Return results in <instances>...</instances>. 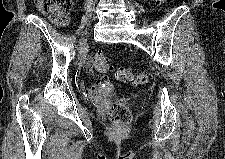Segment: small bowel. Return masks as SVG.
<instances>
[{
  "label": "small bowel",
  "instance_id": "1",
  "mask_svg": "<svg viewBox=\"0 0 225 159\" xmlns=\"http://www.w3.org/2000/svg\"><path fill=\"white\" fill-rule=\"evenodd\" d=\"M84 66L87 69H90L93 66V61L91 60V58H87L84 61ZM101 83H102V81H99V83H97L96 85H94L92 87H87L83 81H80L78 83V86L86 94L92 95V94H95L97 92V90H98L99 86L101 85Z\"/></svg>",
  "mask_w": 225,
  "mask_h": 159
}]
</instances>
